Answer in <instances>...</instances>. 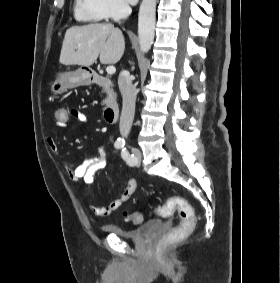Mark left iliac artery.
Returning a JSON list of instances; mask_svg holds the SVG:
<instances>
[{
	"label": "left iliac artery",
	"mask_w": 280,
	"mask_h": 283,
	"mask_svg": "<svg viewBox=\"0 0 280 283\" xmlns=\"http://www.w3.org/2000/svg\"><path fill=\"white\" fill-rule=\"evenodd\" d=\"M121 156L129 165H133L135 163L134 155H130L126 148L122 149Z\"/></svg>",
	"instance_id": "1"
}]
</instances>
